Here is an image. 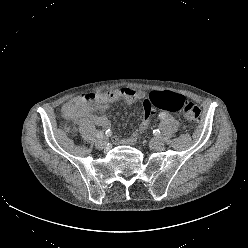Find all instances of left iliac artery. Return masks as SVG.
<instances>
[{
	"mask_svg": "<svg viewBox=\"0 0 248 248\" xmlns=\"http://www.w3.org/2000/svg\"><path fill=\"white\" fill-rule=\"evenodd\" d=\"M159 116H160L161 118H163V117H165V114H164V113H161ZM154 133L157 135V134L160 133V131H159V130H154Z\"/></svg>",
	"mask_w": 248,
	"mask_h": 248,
	"instance_id": "left-iliac-artery-1",
	"label": "left iliac artery"
}]
</instances>
